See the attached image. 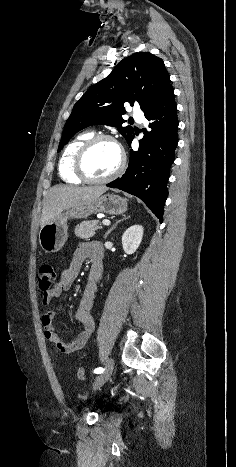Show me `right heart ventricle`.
Segmentation results:
<instances>
[{
	"instance_id": "obj_1",
	"label": "right heart ventricle",
	"mask_w": 236,
	"mask_h": 467,
	"mask_svg": "<svg viewBox=\"0 0 236 467\" xmlns=\"http://www.w3.org/2000/svg\"><path fill=\"white\" fill-rule=\"evenodd\" d=\"M91 136H93L92 132L79 134L64 149L58 164L59 175L64 182L69 184L82 182L74 172V159L80 146Z\"/></svg>"
}]
</instances>
